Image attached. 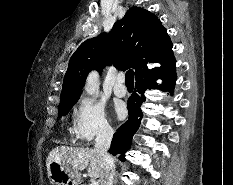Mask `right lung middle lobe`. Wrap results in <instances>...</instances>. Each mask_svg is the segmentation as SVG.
<instances>
[{
    "label": "right lung middle lobe",
    "mask_w": 233,
    "mask_h": 185,
    "mask_svg": "<svg viewBox=\"0 0 233 185\" xmlns=\"http://www.w3.org/2000/svg\"><path fill=\"white\" fill-rule=\"evenodd\" d=\"M77 100L75 101H67V102H62L59 104V116H65L69 110L72 108V106L76 103Z\"/></svg>",
    "instance_id": "dd1d6c3e"
}]
</instances>
